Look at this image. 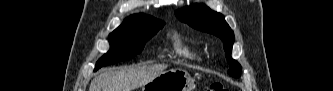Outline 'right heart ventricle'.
I'll list each match as a JSON object with an SVG mask.
<instances>
[{
	"mask_svg": "<svg viewBox=\"0 0 333 91\" xmlns=\"http://www.w3.org/2000/svg\"><path fill=\"white\" fill-rule=\"evenodd\" d=\"M173 48L180 56L190 60H200V52L194 46L186 43L178 34L173 35Z\"/></svg>",
	"mask_w": 333,
	"mask_h": 91,
	"instance_id": "obj_1",
	"label": "right heart ventricle"
}]
</instances>
